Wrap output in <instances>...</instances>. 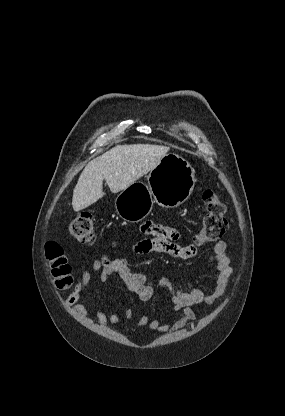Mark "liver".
Here are the masks:
<instances>
[{"label": "liver", "instance_id": "liver-1", "mask_svg": "<svg viewBox=\"0 0 285 416\" xmlns=\"http://www.w3.org/2000/svg\"><path fill=\"white\" fill-rule=\"evenodd\" d=\"M167 152L169 148L166 146L125 144L98 156L85 166L73 190L74 212L85 210L103 198V180H106L112 194H117L153 170Z\"/></svg>", "mask_w": 285, "mask_h": 416}]
</instances>
